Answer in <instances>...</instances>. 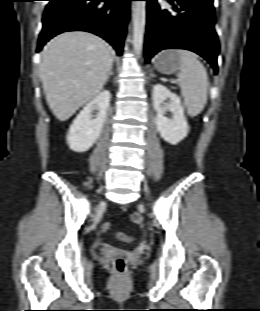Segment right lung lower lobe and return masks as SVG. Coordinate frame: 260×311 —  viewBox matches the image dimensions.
I'll return each mask as SVG.
<instances>
[{"label":"right lung lower lobe","instance_id":"98d812e1","mask_svg":"<svg viewBox=\"0 0 260 311\" xmlns=\"http://www.w3.org/2000/svg\"><path fill=\"white\" fill-rule=\"evenodd\" d=\"M38 51L52 37L66 31H87L122 53L131 0H48Z\"/></svg>","mask_w":260,"mask_h":311}]
</instances>
